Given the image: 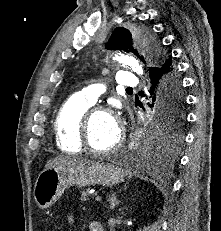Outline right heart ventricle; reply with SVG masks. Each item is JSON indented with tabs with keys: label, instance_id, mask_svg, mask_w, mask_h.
I'll list each match as a JSON object with an SVG mask.
<instances>
[{
	"label": "right heart ventricle",
	"instance_id": "e07e8e85",
	"mask_svg": "<svg viewBox=\"0 0 221 231\" xmlns=\"http://www.w3.org/2000/svg\"><path fill=\"white\" fill-rule=\"evenodd\" d=\"M91 104L72 96L59 109L54 121V133L58 149L64 153L76 154L83 150L80 143V122Z\"/></svg>",
	"mask_w": 221,
	"mask_h": 231
}]
</instances>
